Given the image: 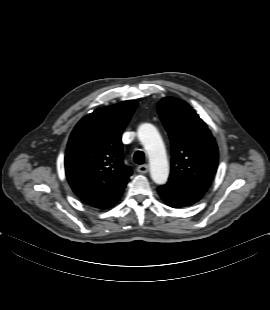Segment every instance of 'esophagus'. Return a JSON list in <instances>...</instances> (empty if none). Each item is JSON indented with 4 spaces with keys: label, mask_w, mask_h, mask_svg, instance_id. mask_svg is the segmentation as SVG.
<instances>
[{
    "label": "esophagus",
    "mask_w": 270,
    "mask_h": 310,
    "mask_svg": "<svg viewBox=\"0 0 270 310\" xmlns=\"http://www.w3.org/2000/svg\"><path fill=\"white\" fill-rule=\"evenodd\" d=\"M137 171L139 173L145 174V173H147L149 171V166L146 165V164L140 165V166L137 167Z\"/></svg>",
    "instance_id": "34e87169"
}]
</instances>
